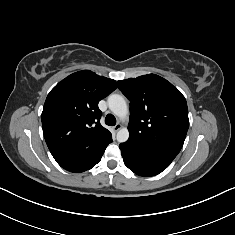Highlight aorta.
<instances>
[{
  "instance_id": "762f6f07",
  "label": "aorta",
  "mask_w": 235,
  "mask_h": 235,
  "mask_svg": "<svg viewBox=\"0 0 235 235\" xmlns=\"http://www.w3.org/2000/svg\"><path fill=\"white\" fill-rule=\"evenodd\" d=\"M109 109L120 119H127L128 117V107L123 96L119 94H111L108 97ZM117 141L120 143L126 142L129 138V131L126 127L121 128L117 132Z\"/></svg>"
}]
</instances>
